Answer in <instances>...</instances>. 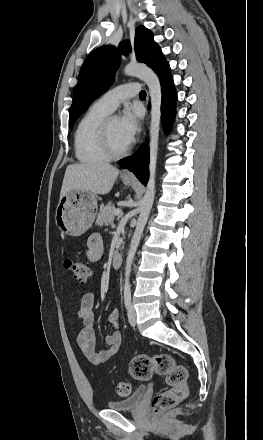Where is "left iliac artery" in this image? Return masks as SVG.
Here are the masks:
<instances>
[{"mask_svg": "<svg viewBox=\"0 0 263 440\" xmlns=\"http://www.w3.org/2000/svg\"><path fill=\"white\" fill-rule=\"evenodd\" d=\"M124 303L127 309L131 305V289L129 287L124 289Z\"/></svg>", "mask_w": 263, "mask_h": 440, "instance_id": "44dca946", "label": "left iliac artery"}]
</instances>
